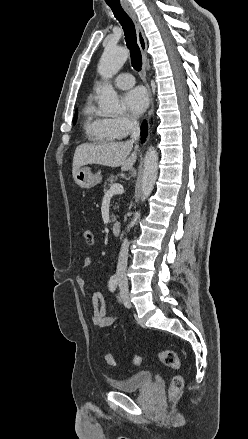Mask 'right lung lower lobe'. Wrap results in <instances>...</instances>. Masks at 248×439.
Returning <instances> with one entry per match:
<instances>
[{
	"mask_svg": "<svg viewBox=\"0 0 248 439\" xmlns=\"http://www.w3.org/2000/svg\"><path fill=\"white\" fill-rule=\"evenodd\" d=\"M147 132H148V125H147V122L144 121L141 125V140H142V142L145 141V139L147 137Z\"/></svg>",
	"mask_w": 248,
	"mask_h": 439,
	"instance_id": "right-lung-lower-lobe-1",
	"label": "right lung lower lobe"
}]
</instances>
